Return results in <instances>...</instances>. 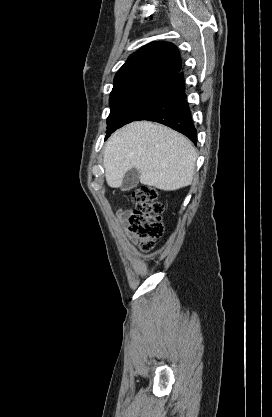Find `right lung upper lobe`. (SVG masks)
Instances as JSON below:
<instances>
[{
  "label": "right lung upper lobe",
  "mask_w": 272,
  "mask_h": 417,
  "mask_svg": "<svg viewBox=\"0 0 272 417\" xmlns=\"http://www.w3.org/2000/svg\"><path fill=\"white\" fill-rule=\"evenodd\" d=\"M181 70L175 45L150 43L133 53L118 70L111 95L138 88H163Z\"/></svg>",
  "instance_id": "cb5924a9"
}]
</instances>
